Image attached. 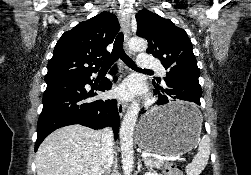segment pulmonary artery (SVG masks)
<instances>
[{
    "mask_svg": "<svg viewBox=\"0 0 251 175\" xmlns=\"http://www.w3.org/2000/svg\"><path fill=\"white\" fill-rule=\"evenodd\" d=\"M137 67H146V70H156V75L160 79H167V74H163V65L158 62V58H151L148 52H140L138 56Z\"/></svg>",
    "mask_w": 251,
    "mask_h": 175,
    "instance_id": "1",
    "label": "pulmonary artery"
}]
</instances>
